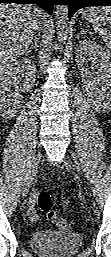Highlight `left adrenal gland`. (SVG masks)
<instances>
[{"label":"left adrenal gland","mask_w":111,"mask_h":257,"mask_svg":"<svg viewBox=\"0 0 111 257\" xmlns=\"http://www.w3.org/2000/svg\"><path fill=\"white\" fill-rule=\"evenodd\" d=\"M86 33H87V31L81 30L80 33L78 34V36L81 34H86Z\"/></svg>","instance_id":"a2214340"}]
</instances>
